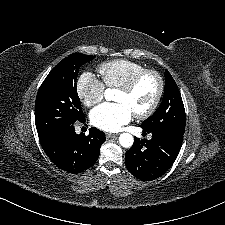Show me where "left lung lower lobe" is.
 Listing matches in <instances>:
<instances>
[{"instance_id":"left-lung-lower-lobe-1","label":"left lung lower lobe","mask_w":225,"mask_h":225,"mask_svg":"<svg viewBox=\"0 0 225 225\" xmlns=\"http://www.w3.org/2000/svg\"><path fill=\"white\" fill-rule=\"evenodd\" d=\"M140 127L143 136L150 134L152 138H134L133 146L125 154V164L136 178L151 181L170 169L181 149L183 134L168 128L158 131Z\"/></svg>"}]
</instances>
